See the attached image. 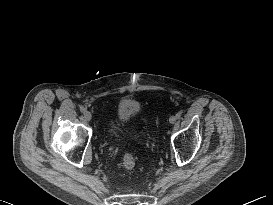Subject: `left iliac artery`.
I'll return each instance as SVG.
<instances>
[{
	"instance_id": "44dca946",
	"label": "left iliac artery",
	"mask_w": 273,
	"mask_h": 205,
	"mask_svg": "<svg viewBox=\"0 0 273 205\" xmlns=\"http://www.w3.org/2000/svg\"><path fill=\"white\" fill-rule=\"evenodd\" d=\"M176 118H177V119H180V118H181V113L178 112V113L176 114Z\"/></svg>"
}]
</instances>
